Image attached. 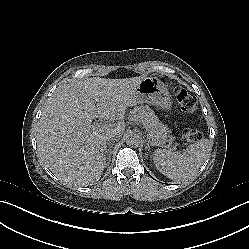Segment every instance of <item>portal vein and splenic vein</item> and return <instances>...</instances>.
I'll use <instances>...</instances> for the list:
<instances>
[{"mask_svg": "<svg viewBox=\"0 0 249 249\" xmlns=\"http://www.w3.org/2000/svg\"><path fill=\"white\" fill-rule=\"evenodd\" d=\"M96 126H98V127H99V126H100V124H99V123H97V124H96Z\"/></svg>", "mask_w": 249, "mask_h": 249, "instance_id": "portal-vein-and-splenic-vein-1", "label": "portal vein and splenic vein"}]
</instances>
